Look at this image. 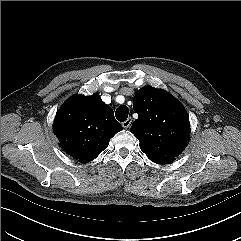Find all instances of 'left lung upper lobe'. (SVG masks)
I'll return each instance as SVG.
<instances>
[{"mask_svg": "<svg viewBox=\"0 0 241 241\" xmlns=\"http://www.w3.org/2000/svg\"><path fill=\"white\" fill-rule=\"evenodd\" d=\"M133 109L138 119L131 132L141 150L157 164L172 163L187 146L190 136L188 115L172 95L145 86L134 96Z\"/></svg>", "mask_w": 241, "mask_h": 241, "instance_id": "left-lung-upper-lobe-1", "label": "left lung upper lobe"}]
</instances>
